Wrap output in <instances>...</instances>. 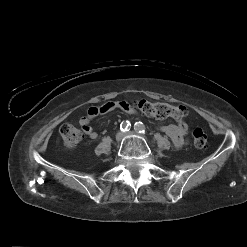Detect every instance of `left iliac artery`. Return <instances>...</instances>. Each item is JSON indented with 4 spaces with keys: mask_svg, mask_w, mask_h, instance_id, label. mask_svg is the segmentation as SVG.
<instances>
[{
    "mask_svg": "<svg viewBox=\"0 0 247 247\" xmlns=\"http://www.w3.org/2000/svg\"><path fill=\"white\" fill-rule=\"evenodd\" d=\"M134 130L138 133L144 134L145 133V126L142 122H136L134 124Z\"/></svg>",
    "mask_w": 247,
    "mask_h": 247,
    "instance_id": "1",
    "label": "left iliac artery"
}]
</instances>
